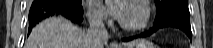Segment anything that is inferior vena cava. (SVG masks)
<instances>
[{"mask_svg":"<svg viewBox=\"0 0 213 48\" xmlns=\"http://www.w3.org/2000/svg\"><path fill=\"white\" fill-rule=\"evenodd\" d=\"M103 20L104 15L101 12H95L89 18L90 26L87 31V39L91 48H103V45L108 41L109 35Z\"/></svg>","mask_w":213,"mask_h":48,"instance_id":"obj_1","label":"inferior vena cava"}]
</instances>
